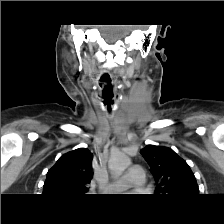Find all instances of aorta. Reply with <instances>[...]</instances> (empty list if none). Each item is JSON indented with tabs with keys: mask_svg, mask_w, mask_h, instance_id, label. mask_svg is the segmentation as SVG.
Returning a JSON list of instances; mask_svg holds the SVG:
<instances>
[{
	"mask_svg": "<svg viewBox=\"0 0 224 224\" xmlns=\"http://www.w3.org/2000/svg\"><path fill=\"white\" fill-rule=\"evenodd\" d=\"M131 164V160L124 154L112 155L108 167L113 177L117 178L122 175L125 169Z\"/></svg>",
	"mask_w": 224,
	"mask_h": 224,
	"instance_id": "1",
	"label": "aorta"
}]
</instances>
